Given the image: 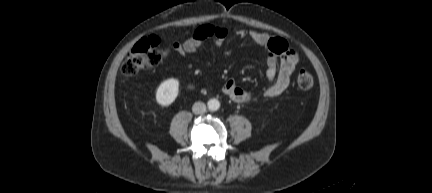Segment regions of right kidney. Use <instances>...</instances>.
Returning a JSON list of instances; mask_svg holds the SVG:
<instances>
[{"label":"right kidney","instance_id":"obj_1","mask_svg":"<svg viewBox=\"0 0 432 193\" xmlns=\"http://www.w3.org/2000/svg\"><path fill=\"white\" fill-rule=\"evenodd\" d=\"M179 81L175 78H169L163 81L156 91V101L161 106L171 105L178 96Z\"/></svg>","mask_w":432,"mask_h":193}]
</instances>
